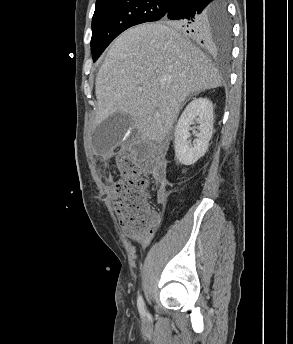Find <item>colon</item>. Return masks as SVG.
Masks as SVG:
<instances>
[{
	"label": "colon",
	"instance_id": "colon-1",
	"mask_svg": "<svg viewBox=\"0 0 293 344\" xmlns=\"http://www.w3.org/2000/svg\"><path fill=\"white\" fill-rule=\"evenodd\" d=\"M122 179L113 188V207L118 222L130 237L151 236L159 223V211L147 200L148 180L128 154L112 157Z\"/></svg>",
	"mask_w": 293,
	"mask_h": 344
}]
</instances>
